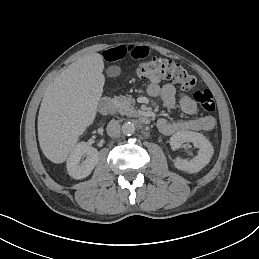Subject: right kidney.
Returning a JSON list of instances; mask_svg holds the SVG:
<instances>
[{
    "instance_id": "obj_1",
    "label": "right kidney",
    "mask_w": 259,
    "mask_h": 259,
    "mask_svg": "<svg viewBox=\"0 0 259 259\" xmlns=\"http://www.w3.org/2000/svg\"><path fill=\"white\" fill-rule=\"evenodd\" d=\"M82 156L86 159L81 162ZM99 159L98 150L86 142L78 143L67 159L68 174L75 179H83L90 175Z\"/></svg>"
}]
</instances>
